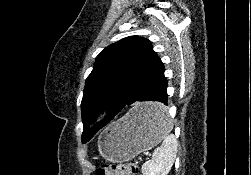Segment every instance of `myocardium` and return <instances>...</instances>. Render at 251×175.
Returning <instances> with one entry per match:
<instances>
[{
  "label": "myocardium",
  "mask_w": 251,
  "mask_h": 175,
  "mask_svg": "<svg viewBox=\"0 0 251 175\" xmlns=\"http://www.w3.org/2000/svg\"><path fill=\"white\" fill-rule=\"evenodd\" d=\"M107 115V112L103 108H97L92 112V119L94 121H102Z\"/></svg>",
  "instance_id": "obj_1"
}]
</instances>
